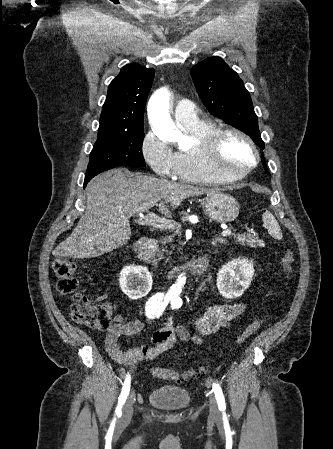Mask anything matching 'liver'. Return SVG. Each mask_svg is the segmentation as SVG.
Instances as JSON below:
<instances>
[{
    "label": "liver",
    "mask_w": 333,
    "mask_h": 449,
    "mask_svg": "<svg viewBox=\"0 0 333 449\" xmlns=\"http://www.w3.org/2000/svg\"><path fill=\"white\" fill-rule=\"evenodd\" d=\"M217 192L113 169L92 179L86 187L87 207L71 235L54 251L57 256L94 258L123 246L131 236L129 219L154 206L166 217L170 207L202 194Z\"/></svg>",
    "instance_id": "1"
}]
</instances>
